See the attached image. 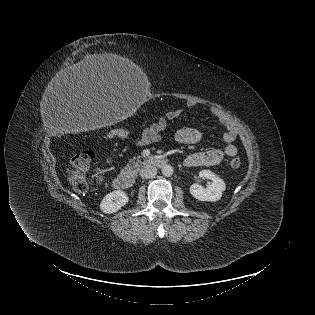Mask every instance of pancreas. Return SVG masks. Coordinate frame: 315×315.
I'll use <instances>...</instances> for the list:
<instances>
[{
	"instance_id": "obj_1",
	"label": "pancreas",
	"mask_w": 315,
	"mask_h": 315,
	"mask_svg": "<svg viewBox=\"0 0 315 315\" xmlns=\"http://www.w3.org/2000/svg\"><path fill=\"white\" fill-rule=\"evenodd\" d=\"M127 167H128V168H138V164H137V163L128 164Z\"/></svg>"
}]
</instances>
